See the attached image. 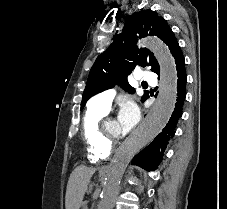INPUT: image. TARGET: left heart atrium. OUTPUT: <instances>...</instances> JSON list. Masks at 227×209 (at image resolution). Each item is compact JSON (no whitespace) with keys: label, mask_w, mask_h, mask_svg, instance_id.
Listing matches in <instances>:
<instances>
[{"label":"left heart atrium","mask_w":227,"mask_h":209,"mask_svg":"<svg viewBox=\"0 0 227 209\" xmlns=\"http://www.w3.org/2000/svg\"><path fill=\"white\" fill-rule=\"evenodd\" d=\"M140 119V110L138 106L131 100L125 99L120 103V110L118 114V124L128 133L131 131Z\"/></svg>","instance_id":"39dd6f15"}]
</instances>
